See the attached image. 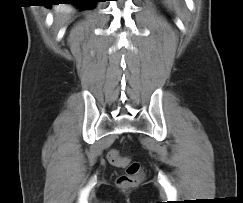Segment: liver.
<instances>
[{"label":"liver","instance_id":"liver-1","mask_svg":"<svg viewBox=\"0 0 243 203\" xmlns=\"http://www.w3.org/2000/svg\"><path fill=\"white\" fill-rule=\"evenodd\" d=\"M73 12V9L71 7H58L56 8V14H57V21L60 24H63L66 19L69 18V14Z\"/></svg>","mask_w":243,"mask_h":203}]
</instances>
